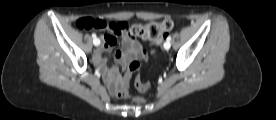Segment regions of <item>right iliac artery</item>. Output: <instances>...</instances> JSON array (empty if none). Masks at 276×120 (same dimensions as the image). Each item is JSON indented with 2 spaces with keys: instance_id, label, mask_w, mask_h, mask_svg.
<instances>
[{
  "instance_id": "right-iliac-artery-1",
  "label": "right iliac artery",
  "mask_w": 276,
  "mask_h": 120,
  "mask_svg": "<svg viewBox=\"0 0 276 120\" xmlns=\"http://www.w3.org/2000/svg\"><path fill=\"white\" fill-rule=\"evenodd\" d=\"M92 37H93V43H94V45H98V44H100V40H99V42L98 43H95L94 41L97 39L96 38V34H92Z\"/></svg>"
}]
</instances>
